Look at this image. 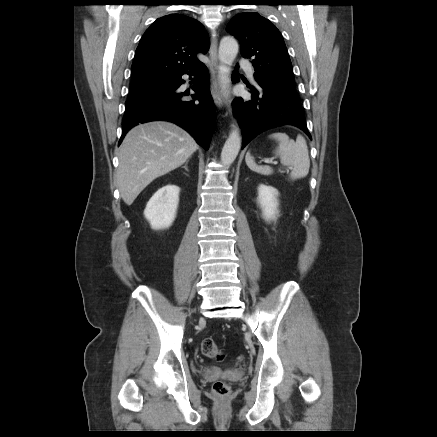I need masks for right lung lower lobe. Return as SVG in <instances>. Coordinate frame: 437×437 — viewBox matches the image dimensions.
<instances>
[{
  "mask_svg": "<svg viewBox=\"0 0 437 437\" xmlns=\"http://www.w3.org/2000/svg\"><path fill=\"white\" fill-rule=\"evenodd\" d=\"M183 74L193 76V100L189 92L179 89ZM166 120L184 128L205 150L208 149L216 122V111L210 93L207 67L202 62L170 79L168 85L154 91L130 97L125 103L122 122L123 140L128 130L138 123Z\"/></svg>",
  "mask_w": 437,
  "mask_h": 437,
  "instance_id": "1",
  "label": "right lung lower lobe"
}]
</instances>
